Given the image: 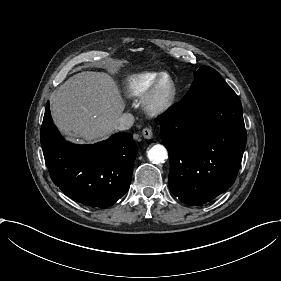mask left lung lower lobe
I'll return each mask as SVG.
<instances>
[{
	"mask_svg": "<svg viewBox=\"0 0 281 281\" xmlns=\"http://www.w3.org/2000/svg\"><path fill=\"white\" fill-rule=\"evenodd\" d=\"M169 152V188L183 203L202 205L228 190L246 145L235 93L181 101L159 116Z\"/></svg>",
	"mask_w": 281,
	"mask_h": 281,
	"instance_id": "obj_1",
	"label": "left lung lower lobe"
}]
</instances>
